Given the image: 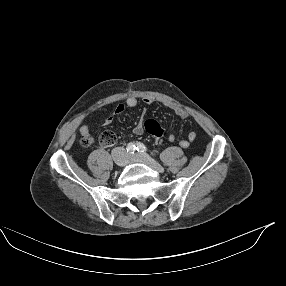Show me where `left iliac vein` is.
<instances>
[{"instance_id": "1", "label": "left iliac vein", "mask_w": 286, "mask_h": 286, "mask_svg": "<svg viewBox=\"0 0 286 286\" xmlns=\"http://www.w3.org/2000/svg\"><path fill=\"white\" fill-rule=\"evenodd\" d=\"M130 161L143 163L159 173L164 172V168L147 154H139V153L134 154L130 157Z\"/></svg>"}]
</instances>
